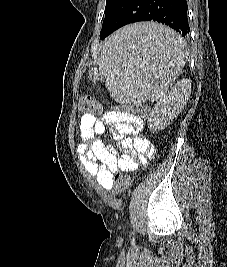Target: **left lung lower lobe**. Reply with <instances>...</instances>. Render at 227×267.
Returning a JSON list of instances; mask_svg holds the SVG:
<instances>
[{"mask_svg":"<svg viewBox=\"0 0 227 267\" xmlns=\"http://www.w3.org/2000/svg\"><path fill=\"white\" fill-rule=\"evenodd\" d=\"M187 10L186 0H128L102 26L100 38L104 39L117 29L139 21L165 24L185 37L190 32ZM136 43L146 49L169 45L167 40H156L147 35L140 36Z\"/></svg>","mask_w":227,"mask_h":267,"instance_id":"obj_1","label":"left lung lower lobe"}]
</instances>
